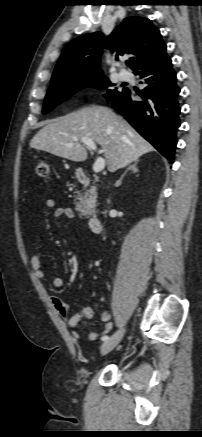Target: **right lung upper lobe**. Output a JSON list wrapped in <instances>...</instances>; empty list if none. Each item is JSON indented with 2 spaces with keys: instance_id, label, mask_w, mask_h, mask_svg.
Here are the masks:
<instances>
[{
  "instance_id": "obj_1",
  "label": "right lung upper lobe",
  "mask_w": 202,
  "mask_h": 437,
  "mask_svg": "<svg viewBox=\"0 0 202 437\" xmlns=\"http://www.w3.org/2000/svg\"><path fill=\"white\" fill-rule=\"evenodd\" d=\"M104 48L115 53L116 58L132 54L134 72L167 55L166 44L149 19L128 17L106 38L102 32H94L72 40L55 67L52 84L81 76L102 75L99 63Z\"/></svg>"
}]
</instances>
